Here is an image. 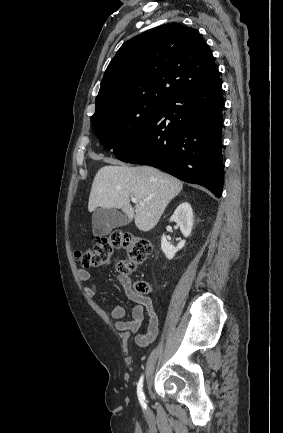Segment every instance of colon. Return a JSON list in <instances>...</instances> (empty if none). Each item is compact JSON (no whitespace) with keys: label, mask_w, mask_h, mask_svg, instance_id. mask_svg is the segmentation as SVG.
I'll use <instances>...</instances> for the list:
<instances>
[{"label":"colon","mask_w":283,"mask_h":433,"mask_svg":"<svg viewBox=\"0 0 283 433\" xmlns=\"http://www.w3.org/2000/svg\"><path fill=\"white\" fill-rule=\"evenodd\" d=\"M116 250H124L127 254L126 260L117 263L118 270L126 274L149 257L152 245L143 237L115 230L107 236L99 237L92 248L78 251L76 256L85 268L99 269L111 263ZM134 290L146 295L150 291V286L145 281H138L134 284Z\"/></svg>","instance_id":"colon-1"}]
</instances>
